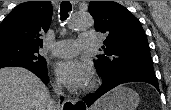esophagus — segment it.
Instances as JSON below:
<instances>
[{"label": "esophagus", "instance_id": "obj_1", "mask_svg": "<svg viewBox=\"0 0 171 110\" xmlns=\"http://www.w3.org/2000/svg\"><path fill=\"white\" fill-rule=\"evenodd\" d=\"M73 4H76L77 1H71ZM64 107L67 109V110H75L76 108V101L72 100V99H67L64 103Z\"/></svg>", "mask_w": 171, "mask_h": 110}]
</instances>
